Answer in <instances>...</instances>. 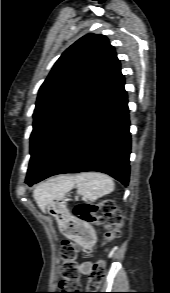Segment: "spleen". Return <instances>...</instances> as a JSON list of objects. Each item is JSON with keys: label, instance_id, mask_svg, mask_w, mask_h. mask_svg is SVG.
<instances>
[{"label": "spleen", "instance_id": "spleen-1", "mask_svg": "<svg viewBox=\"0 0 170 293\" xmlns=\"http://www.w3.org/2000/svg\"><path fill=\"white\" fill-rule=\"evenodd\" d=\"M74 183L77 186V194L90 202H94L114 190L113 180L109 176L98 172L78 174Z\"/></svg>", "mask_w": 170, "mask_h": 293}]
</instances>
